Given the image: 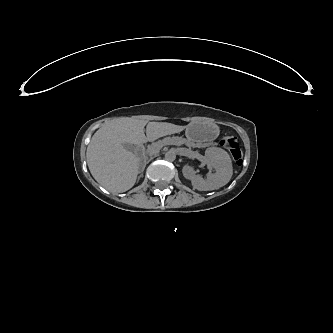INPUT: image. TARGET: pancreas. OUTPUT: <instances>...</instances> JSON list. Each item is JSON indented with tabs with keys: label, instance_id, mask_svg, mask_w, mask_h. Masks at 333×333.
I'll return each mask as SVG.
<instances>
[{
	"label": "pancreas",
	"instance_id": "obj_1",
	"mask_svg": "<svg viewBox=\"0 0 333 333\" xmlns=\"http://www.w3.org/2000/svg\"><path fill=\"white\" fill-rule=\"evenodd\" d=\"M165 142H167V143H174V144H185V145H187L189 147H191V146L195 147V145L193 143L187 141L186 139H179V138L178 139H173V138H169V139H165L161 143H157L155 145L149 146L148 150H147V154L153 155V154L157 153L158 150H159V148H160V145L162 143H165Z\"/></svg>",
	"mask_w": 333,
	"mask_h": 333
}]
</instances>
